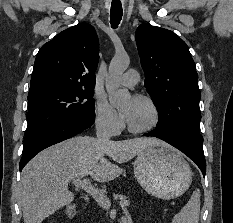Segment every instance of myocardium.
<instances>
[{"label":"myocardium","instance_id":"obj_1","mask_svg":"<svg viewBox=\"0 0 233 223\" xmlns=\"http://www.w3.org/2000/svg\"><path fill=\"white\" fill-rule=\"evenodd\" d=\"M136 98L143 100L150 106L153 112V115H154V122L150 127L145 128V129H136L130 126L129 124H127V130L134 135H146L148 133L155 131L161 125V121H162L161 112H160L158 105L151 97L147 95L139 94V95H136Z\"/></svg>","mask_w":233,"mask_h":223}]
</instances>
